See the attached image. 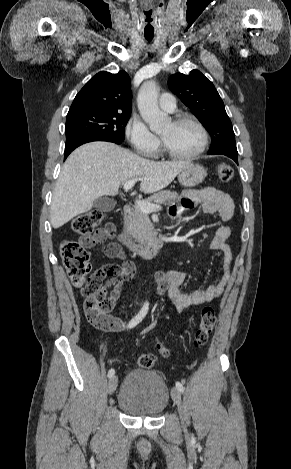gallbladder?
<instances>
[{
	"mask_svg": "<svg viewBox=\"0 0 291 469\" xmlns=\"http://www.w3.org/2000/svg\"><path fill=\"white\" fill-rule=\"evenodd\" d=\"M115 205L116 203L108 197L97 198L93 203L94 208L103 212L112 211Z\"/></svg>",
	"mask_w": 291,
	"mask_h": 469,
	"instance_id": "1",
	"label": "gallbladder"
}]
</instances>
